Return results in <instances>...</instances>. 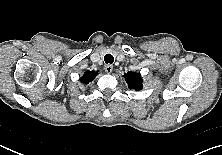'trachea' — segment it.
Returning a JSON list of instances; mask_svg holds the SVG:
<instances>
[{"mask_svg":"<svg viewBox=\"0 0 222 155\" xmlns=\"http://www.w3.org/2000/svg\"><path fill=\"white\" fill-rule=\"evenodd\" d=\"M104 61L107 64H112L114 62V57L111 54H106L104 56Z\"/></svg>","mask_w":222,"mask_h":155,"instance_id":"obj_1","label":"trachea"}]
</instances>
